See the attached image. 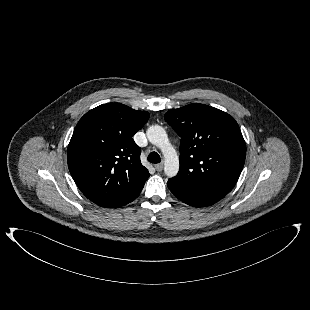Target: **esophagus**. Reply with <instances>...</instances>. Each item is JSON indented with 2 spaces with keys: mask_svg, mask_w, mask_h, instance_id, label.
<instances>
[{
  "mask_svg": "<svg viewBox=\"0 0 310 310\" xmlns=\"http://www.w3.org/2000/svg\"><path fill=\"white\" fill-rule=\"evenodd\" d=\"M155 169H156L158 172H161L162 169H163V164H162V163L156 164V165H155Z\"/></svg>",
  "mask_w": 310,
  "mask_h": 310,
  "instance_id": "1",
  "label": "esophagus"
}]
</instances>
